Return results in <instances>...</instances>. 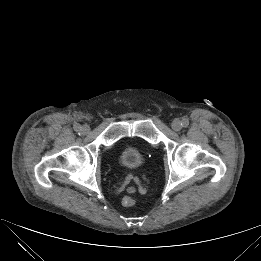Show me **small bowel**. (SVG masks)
I'll list each match as a JSON object with an SVG mask.
<instances>
[{
	"mask_svg": "<svg viewBox=\"0 0 261 261\" xmlns=\"http://www.w3.org/2000/svg\"><path fill=\"white\" fill-rule=\"evenodd\" d=\"M129 192H133L134 191V188L133 187H128L127 189Z\"/></svg>",
	"mask_w": 261,
	"mask_h": 261,
	"instance_id": "1",
	"label": "small bowel"
}]
</instances>
